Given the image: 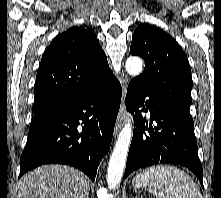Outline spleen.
<instances>
[{"label":"spleen","instance_id":"1","mask_svg":"<svg viewBox=\"0 0 221 198\" xmlns=\"http://www.w3.org/2000/svg\"><path fill=\"white\" fill-rule=\"evenodd\" d=\"M132 185L135 189L148 188L156 198H202L191 177L170 165L152 166L139 172Z\"/></svg>","mask_w":221,"mask_h":198}]
</instances>
